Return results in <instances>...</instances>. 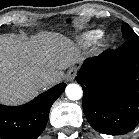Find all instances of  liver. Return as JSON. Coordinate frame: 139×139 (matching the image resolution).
I'll list each match as a JSON object with an SVG mask.
<instances>
[{"mask_svg": "<svg viewBox=\"0 0 139 139\" xmlns=\"http://www.w3.org/2000/svg\"><path fill=\"white\" fill-rule=\"evenodd\" d=\"M82 60L78 47L67 37L42 32L28 41L0 36V103L23 104L41 88L37 80L44 74L58 83L63 70Z\"/></svg>", "mask_w": 139, "mask_h": 139, "instance_id": "obj_1", "label": "liver"}]
</instances>
